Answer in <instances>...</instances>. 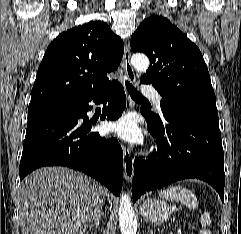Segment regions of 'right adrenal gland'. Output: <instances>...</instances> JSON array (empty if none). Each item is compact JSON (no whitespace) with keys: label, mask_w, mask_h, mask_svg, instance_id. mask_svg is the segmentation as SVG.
<instances>
[{"label":"right adrenal gland","mask_w":241,"mask_h":234,"mask_svg":"<svg viewBox=\"0 0 241 234\" xmlns=\"http://www.w3.org/2000/svg\"><path fill=\"white\" fill-rule=\"evenodd\" d=\"M102 216H103V213L100 212V213L94 218V222L89 225V229H91V228L94 227V226H95L96 228H98Z\"/></svg>","instance_id":"2a0ac1e0"}]
</instances>
